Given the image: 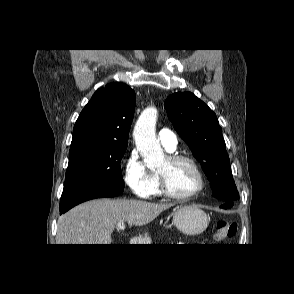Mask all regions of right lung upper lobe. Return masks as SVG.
Returning <instances> with one entry per match:
<instances>
[{
	"label": "right lung upper lobe",
	"instance_id": "right-lung-upper-lobe-1",
	"mask_svg": "<svg viewBox=\"0 0 294 294\" xmlns=\"http://www.w3.org/2000/svg\"><path fill=\"white\" fill-rule=\"evenodd\" d=\"M134 108L135 92L126 84L111 83L98 89L74 125L71 146H127Z\"/></svg>",
	"mask_w": 294,
	"mask_h": 294
}]
</instances>
